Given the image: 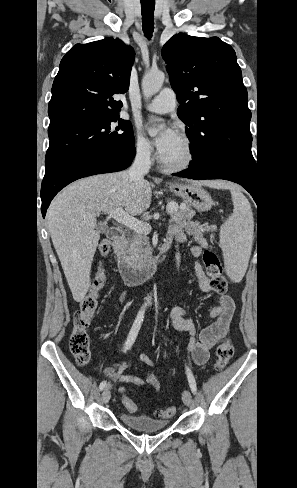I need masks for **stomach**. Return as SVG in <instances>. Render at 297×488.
Here are the masks:
<instances>
[{
  "label": "stomach",
  "instance_id": "1",
  "mask_svg": "<svg viewBox=\"0 0 297 488\" xmlns=\"http://www.w3.org/2000/svg\"><path fill=\"white\" fill-rule=\"evenodd\" d=\"M169 189L198 211H208L213 205L210 194L198 184L175 183L171 184Z\"/></svg>",
  "mask_w": 297,
  "mask_h": 488
}]
</instances>
